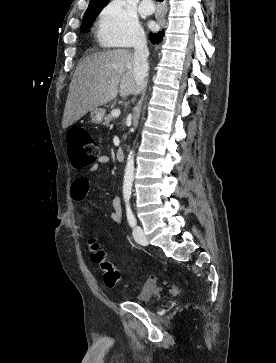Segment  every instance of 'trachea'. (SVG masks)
<instances>
[{
  "mask_svg": "<svg viewBox=\"0 0 276 363\" xmlns=\"http://www.w3.org/2000/svg\"><path fill=\"white\" fill-rule=\"evenodd\" d=\"M156 1L161 2V1H163V0H156Z\"/></svg>",
  "mask_w": 276,
  "mask_h": 363,
  "instance_id": "1",
  "label": "trachea"
}]
</instances>
